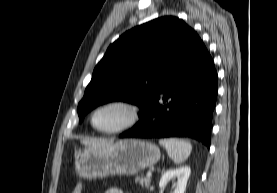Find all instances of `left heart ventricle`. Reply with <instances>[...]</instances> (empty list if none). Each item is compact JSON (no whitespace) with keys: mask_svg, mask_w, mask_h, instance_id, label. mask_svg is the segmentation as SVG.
Instances as JSON below:
<instances>
[{"mask_svg":"<svg viewBox=\"0 0 277 193\" xmlns=\"http://www.w3.org/2000/svg\"><path fill=\"white\" fill-rule=\"evenodd\" d=\"M129 117L128 111L122 107L109 106L100 109L94 116V124L99 129L110 130L121 126Z\"/></svg>","mask_w":277,"mask_h":193,"instance_id":"b2bd125f","label":"left heart ventricle"}]
</instances>
